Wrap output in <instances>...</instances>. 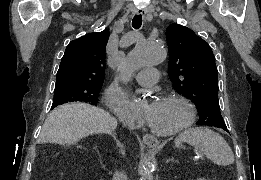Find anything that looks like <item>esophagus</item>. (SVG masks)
Returning <instances> with one entry per match:
<instances>
[{"label": "esophagus", "mask_w": 261, "mask_h": 180, "mask_svg": "<svg viewBox=\"0 0 261 180\" xmlns=\"http://www.w3.org/2000/svg\"><path fill=\"white\" fill-rule=\"evenodd\" d=\"M135 13H140L141 15L146 14L145 10H142V9H136ZM143 142L146 145H148V147H150V148L157 147L160 143L159 140L154 135H151L149 133H146L145 135H143Z\"/></svg>", "instance_id": "obj_1"}]
</instances>
